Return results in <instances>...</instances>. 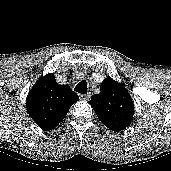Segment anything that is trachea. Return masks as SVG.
Returning a JSON list of instances; mask_svg holds the SVG:
<instances>
[{
	"label": "trachea",
	"mask_w": 171,
	"mask_h": 171,
	"mask_svg": "<svg viewBox=\"0 0 171 171\" xmlns=\"http://www.w3.org/2000/svg\"><path fill=\"white\" fill-rule=\"evenodd\" d=\"M76 92H79L81 94H87L88 87L87 82L85 80L80 81L76 87L74 88Z\"/></svg>",
	"instance_id": "trachea-1"
}]
</instances>
